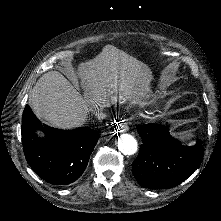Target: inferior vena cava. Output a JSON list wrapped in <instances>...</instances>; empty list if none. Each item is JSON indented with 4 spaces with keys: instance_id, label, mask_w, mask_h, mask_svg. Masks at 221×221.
<instances>
[{
    "instance_id": "inferior-vena-cava-1",
    "label": "inferior vena cava",
    "mask_w": 221,
    "mask_h": 221,
    "mask_svg": "<svg viewBox=\"0 0 221 221\" xmlns=\"http://www.w3.org/2000/svg\"><path fill=\"white\" fill-rule=\"evenodd\" d=\"M91 113L94 116L103 119L106 116V108L103 105H97L91 109Z\"/></svg>"
}]
</instances>
